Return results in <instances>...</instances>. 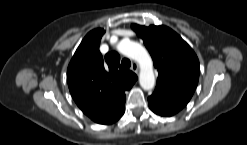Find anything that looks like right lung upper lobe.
Masks as SVG:
<instances>
[{"label":"right lung upper lobe","mask_w":247,"mask_h":145,"mask_svg":"<svg viewBox=\"0 0 247 145\" xmlns=\"http://www.w3.org/2000/svg\"><path fill=\"white\" fill-rule=\"evenodd\" d=\"M105 31L89 32L72 57L67 69L70 93L84 114L99 124H111L125 112V91L137 76L120 66V56L109 52L103 58L99 44Z\"/></svg>","instance_id":"obj_1"}]
</instances>
